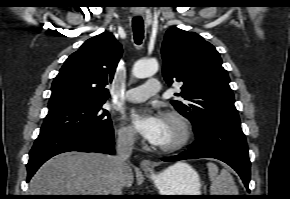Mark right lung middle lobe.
<instances>
[{
	"label": "right lung middle lobe",
	"mask_w": 290,
	"mask_h": 199,
	"mask_svg": "<svg viewBox=\"0 0 290 199\" xmlns=\"http://www.w3.org/2000/svg\"><path fill=\"white\" fill-rule=\"evenodd\" d=\"M104 103H89L49 112L40 135L70 132L80 129H108L112 127Z\"/></svg>",
	"instance_id": "1"
}]
</instances>
